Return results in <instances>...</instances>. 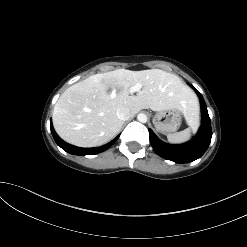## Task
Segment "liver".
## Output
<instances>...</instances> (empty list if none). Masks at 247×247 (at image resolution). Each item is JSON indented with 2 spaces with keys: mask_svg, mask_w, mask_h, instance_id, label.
<instances>
[{
  "mask_svg": "<svg viewBox=\"0 0 247 247\" xmlns=\"http://www.w3.org/2000/svg\"><path fill=\"white\" fill-rule=\"evenodd\" d=\"M142 84L136 95L129 89ZM128 107L131 115L142 109H177L186 119L198 114V104L181 79L160 69L130 71L117 69L95 74L70 86L60 96L53 111V125L66 142L80 147H96L113 139L123 121L116 111ZM195 115V116H196Z\"/></svg>",
  "mask_w": 247,
  "mask_h": 247,
  "instance_id": "1",
  "label": "liver"
}]
</instances>
